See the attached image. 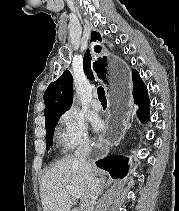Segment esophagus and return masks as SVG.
Instances as JSON below:
<instances>
[{"mask_svg":"<svg viewBox=\"0 0 179 211\" xmlns=\"http://www.w3.org/2000/svg\"><path fill=\"white\" fill-rule=\"evenodd\" d=\"M97 52H93L94 69L98 79L105 82L108 94L107 113L109 119H106V128L101 133L99 144H93L90 159L92 163H99V159H104L107 149H111V145H118V141L122 140V133L128 129V120L131 109V82L127 77L128 65L123 64L120 56H106V52L102 50V45H97Z\"/></svg>","mask_w":179,"mask_h":211,"instance_id":"esophagus-1","label":"esophagus"}]
</instances>
